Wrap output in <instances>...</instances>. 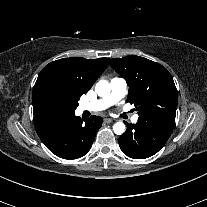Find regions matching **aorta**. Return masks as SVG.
Here are the masks:
<instances>
[{
    "instance_id": "aorta-1",
    "label": "aorta",
    "mask_w": 207,
    "mask_h": 207,
    "mask_svg": "<svg viewBox=\"0 0 207 207\" xmlns=\"http://www.w3.org/2000/svg\"><path fill=\"white\" fill-rule=\"evenodd\" d=\"M96 93L100 97H106L111 92V85L106 80H100L95 87ZM113 131L117 135H122L125 132V124L123 122H117L113 126Z\"/></svg>"
}]
</instances>
